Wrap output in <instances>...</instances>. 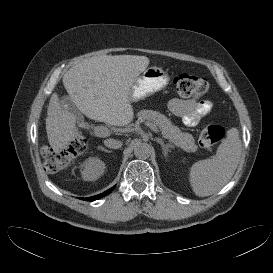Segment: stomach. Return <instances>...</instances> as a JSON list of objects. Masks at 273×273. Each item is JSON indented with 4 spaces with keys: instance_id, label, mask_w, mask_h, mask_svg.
<instances>
[{
    "instance_id": "0dacf381",
    "label": "stomach",
    "mask_w": 273,
    "mask_h": 273,
    "mask_svg": "<svg viewBox=\"0 0 273 273\" xmlns=\"http://www.w3.org/2000/svg\"><path fill=\"white\" fill-rule=\"evenodd\" d=\"M169 83V75L161 67L145 69L134 81L129 92V101L138 102L165 88Z\"/></svg>"
}]
</instances>
